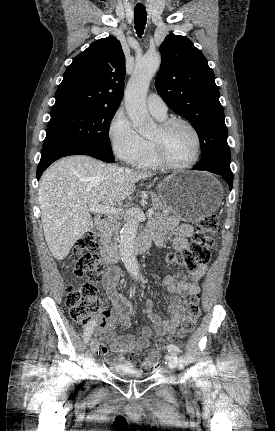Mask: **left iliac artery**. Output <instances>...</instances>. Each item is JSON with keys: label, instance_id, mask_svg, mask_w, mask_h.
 <instances>
[{"label": "left iliac artery", "instance_id": "44dca946", "mask_svg": "<svg viewBox=\"0 0 275 431\" xmlns=\"http://www.w3.org/2000/svg\"><path fill=\"white\" fill-rule=\"evenodd\" d=\"M167 348L170 353H174L175 355L181 353V349L175 344H170Z\"/></svg>", "mask_w": 275, "mask_h": 431}]
</instances>
